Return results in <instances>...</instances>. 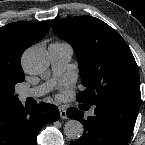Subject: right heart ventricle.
<instances>
[{"mask_svg":"<svg viewBox=\"0 0 145 145\" xmlns=\"http://www.w3.org/2000/svg\"><path fill=\"white\" fill-rule=\"evenodd\" d=\"M57 44H64V43H60V42H56Z\"/></svg>","mask_w":145,"mask_h":145,"instance_id":"e07e8e85","label":"right heart ventricle"}]
</instances>
